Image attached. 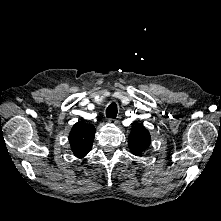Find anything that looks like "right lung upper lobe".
I'll list each match as a JSON object with an SVG mask.
<instances>
[{
	"mask_svg": "<svg viewBox=\"0 0 221 221\" xmlns=\"http://www.w3.org/2000/svg\"><path fill=\"white\" fill-rule=\"evenodd\" d=\"M95 127L92 124L77 122L69 134V143L73 154L77 158L85 157L92 148Z\"/></svg>",
	"mask_w": 221,
	"mask_h": 221,
	"instance_id": "obj_1",
	"label": "right lung upper lobe"
}]
</instances>
